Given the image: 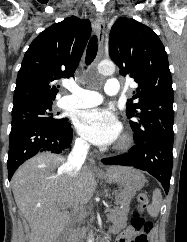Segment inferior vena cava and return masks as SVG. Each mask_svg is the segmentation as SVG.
<instances>
[{
  "instance_id": "obj_1",
  "label": "inferior vena cava",
  "mask_w": 187,
  "mask_h": 242,
  "mask_svg": "<svg viewBox=\"0 0 187 242\" xmlns=\"http://www.w3.org/2000/svg\"><path fill=\"white\" fill-rule=\"evenodd\" d=\"M89 149V145L82 140H77L71 153L68 156L66 163L67 173L72 176H78L82 164L86 159V155Z\"/></svg>"
}]
</instances>
